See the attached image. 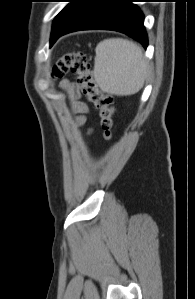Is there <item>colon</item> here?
Wrapping results in <instances>:
<instances>
[{
    "instance_id": "colon-1",
    "label": "colon",
    "mask_w": 195,
    "mask_h": 299,
    "mask_svg": "<svg viewBox=\"0 0 195 299\" xmlns=\"http://www.w3.org/2000/svg\"><path fill=\"white\" fill-rule=\"evenodd\" d=\"M67 73L76 77L83 94L96 110L100 126L106 137H110L116 114L114 97L103 92L97 85L88 56L83 51L63 53L52 69L54 78H62Z\"/></svg>"
}]
</instances>
